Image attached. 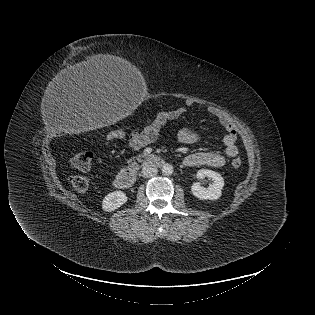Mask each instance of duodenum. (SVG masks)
<instances>
[{"label":"duodenum","instance_id":"1","mask_svg":"<svg viewBox=\"0 0 315 315\" xmlns=\"http://www.w3.org/2000/svg\"><path fill=\"white\" fill-rule=\"evenodd\" d=\"M145 162L155 166H163L165 160L157 155H149L145 158ZM136 180V172L132 169H122L115 179V186L119 189L131 187Z\"/></svg>","mask_w":315,"mask_h":315}]
</instances>
